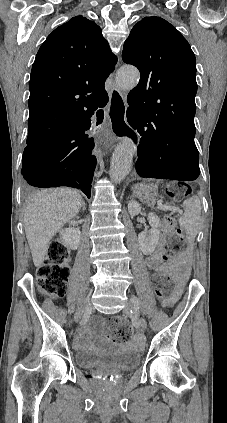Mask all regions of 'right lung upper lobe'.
Segmentation results:
<instances>
[{
	"instance_id": "obj_1",
	"label": "right lung upper lobe",
	"mask_w": 227,
	"mask_h": 423,
	"mask_svg": "<svg viewBox=\"0 0 227 423\" xmlns=\"http://www.w3.org/2000/svg\"><path fill=\"white\" fill-rule=\"evenodd\" d=\"M117 57L101 29L82 16L55 29L41 45L32 66L29 108L36 106L105 105L104 83ZM27 146L45 141L71 125L67 118L28 120Z\"/></svg>"
}]
</instances>
